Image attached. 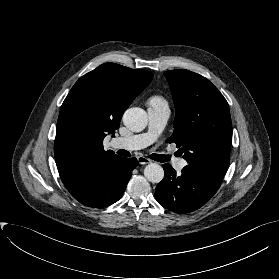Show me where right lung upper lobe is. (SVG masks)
Listing matches in <instances>:
<instances>
[{
  "mask_svg": "<svg viewBox=\"0 0 279 279\" xmlns=\"http://www.w3.org/2000/svg\"><path fill=\"white\" fill-rule=\"evenodd\" d=\"M152 78L145 70L105 63L75 83L61 106L54 145L64 185L119 157L104 150L103 140L114 135L125 110Z\"/></svg>",
  "mask_w": 279,
  "mask_h": 279,
  "instance_id": "1",
  "label": "right lung upper lobe"
}]
</instances>
